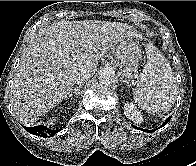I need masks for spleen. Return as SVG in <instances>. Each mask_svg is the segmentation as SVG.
I'll return each mask as SVG.
<instances>
[{
	"label": "spleen",
	"instance_id": "spleen-1",
	"mask_svg": "<svg viewBox=\"0 0 196 166\" xmlns=\"http://www.w3.org/2000/svg\"><path fill=\"white\" fill-rule=\"evenodd\" d=\"M146 54L147 64L134 89V100L149 114L166 113L175 102L177 86L174 74L155 46L148 44Z\"/></svg>",
	"mask_w": 196,
	"mask_h": 166
}]
</instances>
